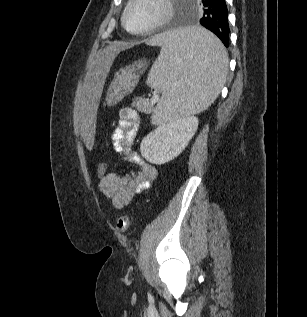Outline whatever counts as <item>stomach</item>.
Here are the masks:
<instances>
[{"mask_svg": "<svg viewBox=\"0 0 307 317\" xmlns=\"http://www.w3.org/2000/svg\"><path fill=\"white\" fill-rule=\"evenodd\" d=\"M143 63H138L136 68H141ZM138 75L135 73V68L130 66L120 69L114 77L108 93L106 101L108 104H112L121 98L127 93H129L135 83L137 82Z\"/></svg>", "mask_w": 307, "mask_h": 317, "instance_id": "obj_1", "label": "stomach"}]
</instances>
